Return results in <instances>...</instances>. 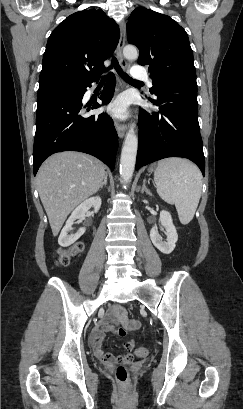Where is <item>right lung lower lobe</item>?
I'll return each mask as SVG.
<instances>
[{
	"label": "right lung lower lobe",
	"instance_id": "right-lung-lower-lobe-1",
	"mask_svg": "<svg viewBox=\"0 0 243 409\" xmlns=\"http://www.w3.org/2000/svg\"><path fill=\"white\" fill-rule=\"evenodd\" d=\"M92 79L79 88L60 89L37 96L36 133L33 149V172L36 175L42 162L51 154L61 151H80L91 154L111 170L115 167L118 137L113 120L106 114L84 116L85 112L100 107L83 105L82 98L91 87ZM115 86L111 73L100 100L110 102Z\"/></svg>",
	"mask_w": 243,
	"mask_h": 409
}]
</instances>
